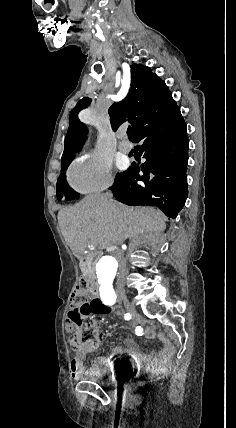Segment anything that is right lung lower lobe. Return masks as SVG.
Returning a JSON list of instances; mask_svg holds the SVG:
<instances>
[{"label": "right lung lower lobe", "instance_id": "right-lung-lower-lobe-1", "mask_svg": "<svg viewBox=\"0 0 236 428\" xmlns=\"http://www.w3.org/2000/svg\"><path fill=\"white\" fill-rule=\"evenodd\" d=\"M131 141L143 144L141 166L118 173L110 188L120 202L159 207L166 216L176 218L186 201L188 138L186 124L176 105L171 111L153 118L139 128ZM144 173L143 176L139 172Z\"/></svg>", "mask_w": 236, "mask_h": 428}]
</instances>
